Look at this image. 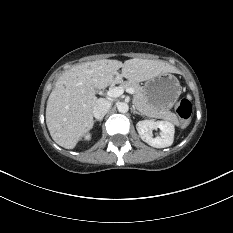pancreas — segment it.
<instances>
[{"label":"pancreas","instance_id":"obj_1","mask_svg":"<svg viewBox=\"0 0 233 233\" xmlns=\"http://www.w3.org/2000/svg\"><path fill=\"white\" fill-rule=\"evenodd\" d=\"M120 87L124 90H126L127 88H132L134 90L133 103L143 115L164 119L166 121L172 122L175 125H179V120L176 114L172 113L169 110H160L150 105L144 94L143 88L140 87L138 84L132 82H123Z\"/></svg>","mask_w":233,"mask_h":233}]
</instances>
